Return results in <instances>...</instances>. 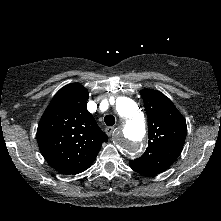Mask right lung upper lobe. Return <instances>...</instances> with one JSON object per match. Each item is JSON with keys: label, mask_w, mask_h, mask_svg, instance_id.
I'll return each instance as SVG.
<instances>
[{"label": "right lung upper lobe", "mask_w": 221, "mask_h": 221, "mask_svg": "<svg viewBox=\"0 0 221 221\" xmlns=\"http://www.w3.org/2000/svg\"><path fill=\"white\" fill-rule=\"evenodd\" d=\"M86 88L72 83L61 88L45 110L37 141L46 161L63 174H76L95 160L107 135L87 110Z\"/></svg>", "instance_id": "cb5924a9"}]
</instances>
